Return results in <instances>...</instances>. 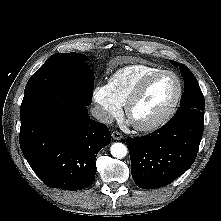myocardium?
Instances as JSON below:
<instances>
[{
    "instance_id": "myocardium-1",
    "label": "myocardium",
    "mask_w": 221,
    "mask_h": 221,
    "mask_svg": "<svg viewBox=\"0 0 221 221\" xmlns=\"http://www.w3.org/2000/svg\"><path fill=\"white\" fill-rule=\"evenodd\" d=\"M161 75H171L175 79L176 84H177L176 94L174 96V99L170 103V105L159 117H157L156 119H154L148 123H143V124L133 123L135 129H137L139 131H152L154 129L159 128L163 124H165L171 118V116L174 114V112H175V110L181 100L183 86H182V82H181L179 76L171 70L160 69L156 72H153V73L145 76L138 83V85L136 86V88L134 89V91L132 92V94L130 95V97L128 98V100L125 104V113H126L127 117L130 118V113H131L133 107L139 101V99L142 97V95H143L144 91L146 90L147 86L149 85V83Z\"/></svg>"
}]
</instances>
